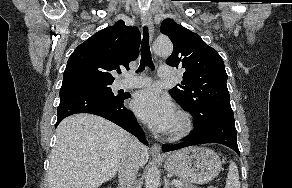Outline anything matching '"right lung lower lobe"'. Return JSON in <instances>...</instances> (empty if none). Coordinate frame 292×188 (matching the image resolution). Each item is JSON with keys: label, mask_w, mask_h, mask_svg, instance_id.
<instances>
[{"label": "right lung lower lobe", "mask_w": 292, "mask_h": 188, "mask_svg": "<svg viewBox=\"0 0 292 188\" xmlns=\"http://www.w3.org/2000/svg\"><path fill=\"white\" fill-rule=\"evenodd\" d=\"M129 97L130 95L121 94L119 98L108 99L82 87L61 88L56 126L67 116L91 113L112 121L148 145L134 114L124 106L125 99Z\"/></svg>", "instance_id": "98d812e1"}]
</instances>
